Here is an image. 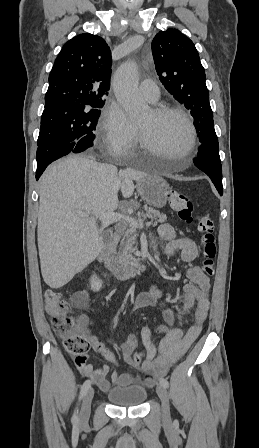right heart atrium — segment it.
I'll use <instances>...</instances> for the list:
<instances>
[{"label":"right heart atrium","mask_w":259,"mask_h":448,"mask_svg":"<svg viewBox=\"0 0 259 448\" xmlns=\"http://www.w3.org/2000/svg\"><path fill=\"white\" fill-rule=\"evenodd\" d=\"M99 144L102 152H113V157H131L140 147L138 129L131 123L118 104L110 106L100 127Z\"/></svg>","instance_id":"obj_1"}]
</instances>
